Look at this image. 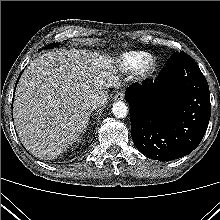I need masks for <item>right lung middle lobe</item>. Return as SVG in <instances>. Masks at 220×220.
Returning a JSON list of instances; mask_svg holds the SVG:
<instances>
[{"instance_id": "right-lung-middle-lobe-1", "label": "right lung middle lobe", "mask_w": 220, "mask_h": 220, "mask_svg": "<svg viewBox=\"0 0 220 220\" xmlns=\"http://www.w3.org/2000/svg\"><path fill=\"white\" fill-rule=\"evenodd\" d=\"M58 45H59L58 43H51V44L47 45L46 48H53Z\"/></svg>"}]
</instances>
